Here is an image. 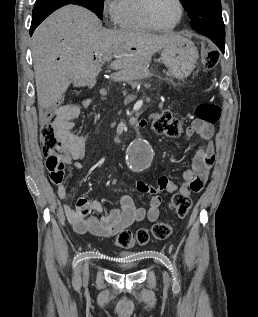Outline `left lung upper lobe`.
<instances>
[{"label": "left lung upper lobe", "instance_id": "1", "mask_svg": "<svg viewBox=\"0 0 258 317\" xmlns=\"http://www.w3.org/2000/svg\"><path fill=\"white\" fill-rule=\"evenodd\" d=\"M180 1L192 20L193 29L209 27L224 29L220 0Z\"/></svg>", "mask_w": 258, "mask_h": 317}]
</instances>
